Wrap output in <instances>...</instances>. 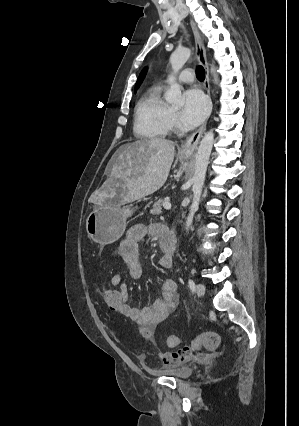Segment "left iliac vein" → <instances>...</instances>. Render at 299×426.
Masks as SVG:
<instances>
[{"label":"left iliac vein","mask_w":299,"mask_h":426,"mask_svg":"<svg viewBox=\"0 0 299 426\" xmlns=\"http://www.w3.org/2000/svg\"><path fill=\"white\" fill-rule=\"evenodd\" d=\"M196 292L199 296H203L205 294V286L201 283L196 285Z\"/></svg>","instance_id":"1"}]
</instances>
